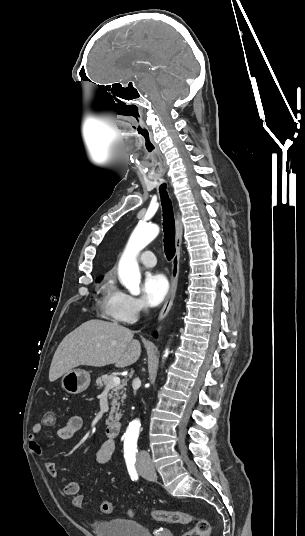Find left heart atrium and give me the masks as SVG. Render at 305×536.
I'll list each match as a JSON object with an SVG mask.
<instances>
[{
	"label": "left heart atrium",
	"mask_w": 305,
	"mask_h": 536,
	"mask_svg": "<svg viewBox=\"0 0 305 536\" xmlns=\"http://www.w3.org/2000/svg\"><path fill=\"white\" fill-rule=\"evenodd\" d=\"M168 291V282L162 274L148 273L143 282V292L150 306L159 305Z\"/></svg>",
	"instance_id": "39dd6f15"
}]
</instances>
